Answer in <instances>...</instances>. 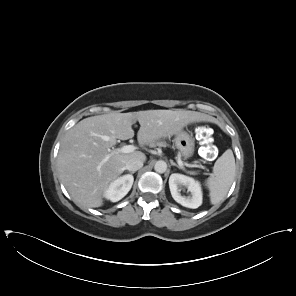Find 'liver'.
I'll list each match as a JSON object with an SVG mask.
<instances>
[{"label":"liver","instance_id":"1","mask_svg":"<svg viewBox=\"0 0 296 296\" xmlns=\"http://www.w3.org/2000/svg\"><path fill=\"white\" fill-rule=\"evenodd\" d=\"M136 121L140 124L138 143L153 146L158 139L180 132L189 123L212 122L213 118L196 111L146 110L111 112L81 120L66 133L57 162L60 180L77 205L102 206L108 184L123 173L126 162L131 158L146 160L141 151L124 154L111 150L117 139L134 137L132 125Z\"/></svg>","mask_w":296,"mask_h":296}]
</instances>
